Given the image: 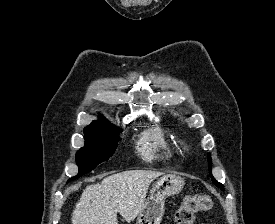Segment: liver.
Returning <instances> with one entry per match:
<instances>
[{
    "label": "liver",
    "mask_w": 275,
    "mask_h": 224,
    "mask_svg": "<svg viewBox=\"0 0 275 224\" xmlns=\"http://www.w3.org/2000/svg\"><path fill=\"white\" fill-rule=\"evenodd\" d=\"M162 174L130 170L87 185L73 210L72 224H118V212L130 223L143 209L149 185Z\"/></svg>",
    "instance_id": "liver-1"
}]
</instances>
